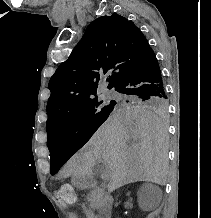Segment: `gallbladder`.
<instances>
[{"mask_svg":"<svg viewBox=\"0 0 211 218\" xmlns=\"http://www.w3.org/2000/svg\"><path fill=\"white\" fill-rule=\"evenodd\" d=\"M92 175H103L106 171V166H91Z\"/></svg>","mask_w":211,"mask_h":218,"instance_id":"obj_1","label":"gallbladder"}]
</instances>
